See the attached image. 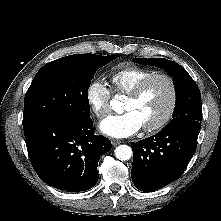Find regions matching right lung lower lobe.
Instances as JSON below:
<instances>
[{
  "instance_id": "1",
  "label": "right lung lower lobe",
  "mask_w": 221,
  "mask_h": 221,
  "mask_svg": "<svg viewBox=\"0 0 221 221\" xmlns=\"http://www.w3.org/2000/svg\"><path fill=\"white\" fill-rule=\"evenodd\" d=\"M92 126L91 119L57 117L24 131L31 163L42 181L67 192L85 191L97 183L99 158L112 145L94 135Z\"/></svg>"
}]
</instances>
